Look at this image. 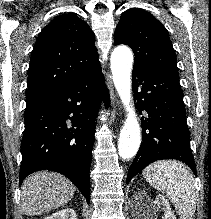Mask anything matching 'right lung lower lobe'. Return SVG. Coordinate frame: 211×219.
Instances as JSON below:
<instances>
[{"instance_id": "obj_1", "label": "right lung lower lobe", "mask_w": 211, "mask_h": 219, "mask_svg": "<svg viewBox=\"0 0 211 219\" xmlns=\"http://www.w3.org/2000/svg\"><path fill=\"white\" fill-rule=\"evenodd\" d=\"M101 67L26 104L19 183L39 170L69 178L90 203V166L99 103L109 94Z\"/></svg>"}]
</instances>
